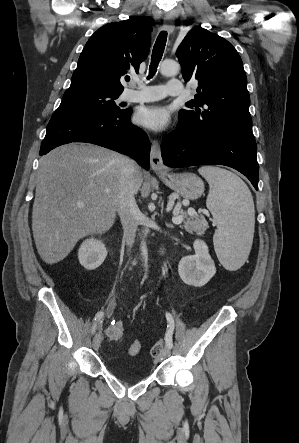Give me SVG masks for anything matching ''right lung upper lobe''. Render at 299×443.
<instances>
[{
	"instance_id": "cb5924a9",
	"label": "right lung upper lobe",
	"mask_w": 299,
	"mask_h": 443,
	"mask_svg": "<svg viewBox=\"0 0 299 443\" xmlns=\"http://www.w3.org/2000/svg\"><path fill=\"white\" fill-rule=\"evenodd\" d=\"M150 23L135 17L99 28L80 54L70 87H92L122 93L128 71L138 73L151 45Z\"/></svg>"
}]
</instances>
